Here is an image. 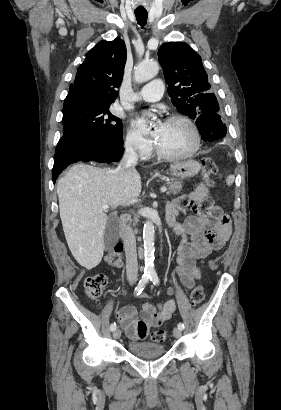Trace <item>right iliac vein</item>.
<instances>
[{
  "instance_id": "63e3f726",
  "label": "right iliac vein",
  "mask_w": 281,
  "mask_h": 410,
  "mask_svg": "<svg viewBox=\"0 0 281 410\" xmlns=\"http://www.w3.org/2000/svg\"><path fill=\"white\" fill-rule=\"evenodd\" d=\"M120 336H121V331H120V329H115L114 332H113V337H114V339H119Z\"/></svg>"
}]
</instances>
